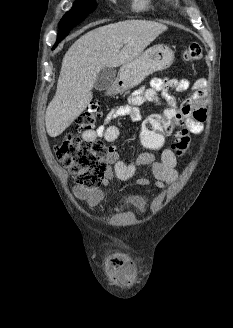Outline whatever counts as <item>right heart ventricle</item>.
I'll use <instances>...</instances> for the list:
<instances>
[{"label": "right heart ventricle", "instance_id": "1", "mask_svg": "<svg viewBox=\"0 0 233 328\" xmlns=\"http://www.w3.org/2000/svg\"><path fill=\"white\" fill-rule=\"evenodd\" d=\"M148 1L149 0H135L134 6L138 10L144 9L147 6Z\"/></svg>", "mask_w": 233, "mask_h": 328}]
</instances>
